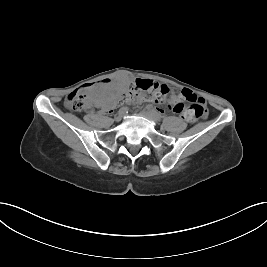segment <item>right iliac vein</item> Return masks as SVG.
I'll list each match as a JSON object with an SVG mask.
<instances>
[{
    "mask_svg": "<svg viewBox=\"0 0 267 267\" xmlns=\"http://www.w3.org/2000/svg\"><path fill=\"white\" fill-rule=\"evenodd\" d=\"M123 116H124V114H120V113H119V114L115 117V121H116V122L121 121L122 118H123Z\"/></svg>",
    "mask_w": 267,
    "mask_h": 267,
    "instance_id": "right-iliac-vein-1",
    "label": "right iliac vein"
}]
</instances>
